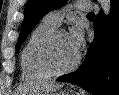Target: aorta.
Returning a JSON list of instances; mask_svg holds the SVG:
<instances>
[{
  "instance_id": "aorta-1",
  "label": "aorta",
  "mask_w": 119,
  "mask_h": 95,
  "mask_svg": "<svg viewBox=\"0 0 119 95\" xmlns=\"http://www.w3.org/2000/svg\"><path fill=\"white\" fill-rule=\"evenodd\" d=\"M105 16H108L110 14L111 10V1L110 0H98Z\"/></svg>"
}]
</instances>
